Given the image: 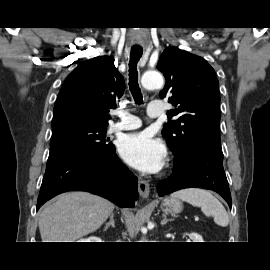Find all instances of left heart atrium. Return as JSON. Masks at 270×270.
<instances>
[{"label": "left heart atrium", "instance_id": "obj_1", "mask_svg": "<svg viewBox=\"0 0 270 270\" xmlns=\"http://www.w3.org/2000/svg\"><path fill=\"white\" fill-rule=\"evenodd\" d=\"M121 157L133 168L147 173L158 172L164 165V145L147 132L124 136L119 142Z\"/></svg>", "mask_w": 270, "mask_h": 270}]
</instances>
